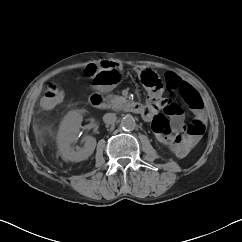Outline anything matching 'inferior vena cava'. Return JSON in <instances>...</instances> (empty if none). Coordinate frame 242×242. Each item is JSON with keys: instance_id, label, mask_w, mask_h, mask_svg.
<instances>
[{"instance_id": "obj_1", "label": "inferior vena cava", "mask_w": 242, "mask_h": 242, "mask_svg": "<svg viewBox=\"0 0 242 242\" xmlns=\"http://www.w3.org/2000/svg\"><path fill=\"white\" fill-rule=\"evenodd\" d=\"M116 119H117V117H116L115 113H106L103 116V121L105 124H113V123H115Z\"/></svg>"}]
</instances>
